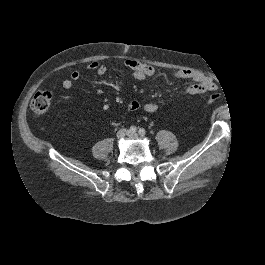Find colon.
I'll use <instances>...</instances> for the list:
<instances>
[{"label": "colon", "mask_w": 265, "mask_h": 265, "mask_svg": "<svg viewBox=\"0 0 265 265\" xmlns=\"http://www.w3.org/2000/svg\"><path fill=\"white\" fill-rule=\"evenodd\" d=\"M221 97V94L214 93L210 95L208 102H215L219 100ZM52 96L48 91H40L37 92L32 101H31V108L35 113L41 114L46 112L51 105Z\"/></svg>", "instance_id": "5ec220e1"}]
</instances>
